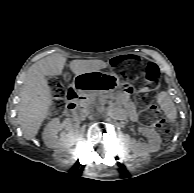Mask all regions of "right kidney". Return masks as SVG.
I'll return each mask as SVG.
<instances>
[{"instance_id":"1","label":"right kidney","mask_w":194,"mask_h":193,"mask_svg":"<svg viewBox=\"0 0 194 193\" xmlns=\"http://www.w3.org/2000/svg\"><path fill=\"white\" fill-rule=\"evenodd\" d=\"M64 126L60 123L58 118L52 119L44 128L42 138L44 143L49 148H69L74 145L76 139V132L71 124L65 125L68 130L67 133H61L58 136L59 131Z\"/></svg>"}]
</instances>
